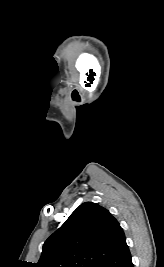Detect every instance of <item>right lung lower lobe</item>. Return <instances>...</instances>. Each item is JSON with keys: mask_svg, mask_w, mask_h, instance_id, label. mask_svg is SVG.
<instances>
[{"mask_svg": "<svg viewBox=\"0 0 164 267\" xmlns=\"http://www.w3.org/2000/svg\"><path fill=\"white\" fill-rule=\"evenodd\" d=\"M99 267H134L128 246L125 245L115 254L99 265Z\"/></svg>", "mask_w": 164, "mask_h": 267, "instance_id": "1", "label": "right lung lower lobe"}]
</instances>
